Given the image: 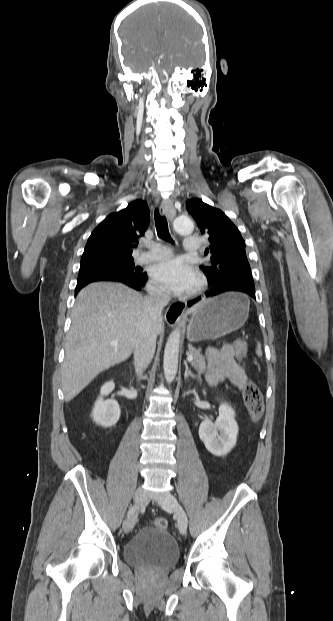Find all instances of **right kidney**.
Masks as SVG:
<instances>
[{
    "label": "right kidney",
    "instance_id": "ca27d5eb",
    "mask_svg": "<svg viewBox=\"0 0 333 621\" xmlns=\"http://www.w3.org/2000/svg\"><path fill=\"white\" fill-rule=\"evenodd\" d=\"M115 385L113 382L105 383L100 391V397L96 400L93 410V421L105 428L114 426L120 418V407L116 400H105L104 396L109 395Z\"/></svg>",
    "mask_w": 333,
    "mask_h": 621
}]
</instances>
